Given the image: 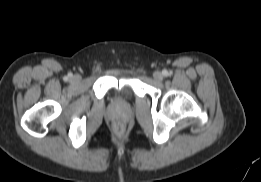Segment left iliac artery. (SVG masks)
Masks as SVG:
<instances>
[{"mask_svg": "<svg viewBox=\"0 0 261 182\" xmlns=\"http://www.w3.org/2000/svg\"><path fill=\"white\" fill-rule=\"evenodd\" d=\"M162 73L164 76H168V74H169L167 70H164Z\"/></svg>", "mask_w": 261, "mask_h": 182, "instance_id": "44dca946", "label": "left iliac artery"}]
</instances>
